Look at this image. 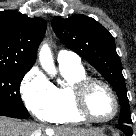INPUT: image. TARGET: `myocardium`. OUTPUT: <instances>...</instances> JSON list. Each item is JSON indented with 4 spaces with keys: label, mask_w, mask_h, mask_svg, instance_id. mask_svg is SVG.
<instances>
[{
    "label": "myocardium",
    "mask_w": 136,
    "mask_h": 136,
    "mask_svg": "<svg viewBox=\"0 0 136 136\" xmlns=\"http://www.w3.org/2000/svg\"><path fill=\"white\" fill-rule=\"evenodd\" d=\"M95 86L104 87L110 94L113 101V105H114L113 113L109 117L104 119L94 117L90 113L88 108V97L91 90ZM72 97H73L74 107L78 115L82 117L84 120L92 123L110 122L117 116L119 112V101L114 89L107 82L98 78L85 77L79 80L78 82H76L72 87Z\"/></svg>",
    "instance_id": "1"
}]
</instances>
